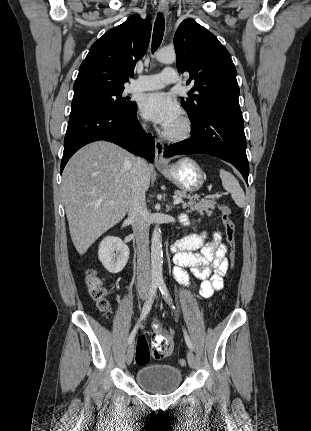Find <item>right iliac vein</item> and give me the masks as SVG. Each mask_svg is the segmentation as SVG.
Returning a JSON list of instances; mask_svg holds the SVG:
<instances>
[{
    "mask_svg": "<svg viewBox=\"0 0 311 431\" xmlns=\"http://www.w3.org/2000/svg\"><path fill=\"white\" fill-rule=\"evenodd\" d=\"M140 297H141L142 300H145L147 298V293L146 292H142L140 294ZM133 356H134V346L130 345V347L128 348L127 353H126V362H127V364H130L132 362Z\"/></svg>",
    "mask_w": 311,
    "mask_h": 431,
    "instance_id": "63e3f726",
    "label": "right iliac vein"
}]
</instances>
